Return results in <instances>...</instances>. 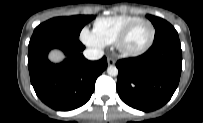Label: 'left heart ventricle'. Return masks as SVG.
<instances>
[{
	"instance_id": "left-heart-ventricle-1",
	"label": "left heart ventricle",
	"mask_w": 203,
	"mask_h": 123,
	"mask_svg": "<svg viewBox=\"0 0 203 123\" xmlns=\"http://www.w3.org/2000/svg\"><path fill=\"white\" fill-rule=\"evenodd\" d=\"M151 37V28L147 23L137 24L128 35L124 47L128 50H138L144 47Z\"/></svg>"
}]
</instances>
